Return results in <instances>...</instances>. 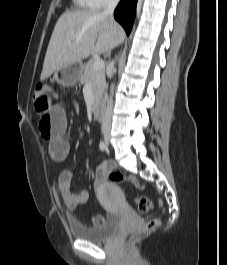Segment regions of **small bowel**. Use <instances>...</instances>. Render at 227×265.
<instances>
[{
  "mask_svg": "<svg viewBox=\"0 0 227 265\" xmlns=\"http://www.w3.org/2000/svg\"><path fill=\"white\" fill-rule=\"evenodd\" d=\"M39 130L41 136L48 141V152L50 157L58 162L65 161L70 153V142L66 137L67 117L64 109L60 105H54L50 111L45 110L39 121ZM111 166L104 163L94 170V189L98 190L110 171ZM73 172L70 169H62L58 175V189L63 204L68 209H74L86 204L88 192L85 190L73 192L71 190V181ZM70 222H76L72 215H68ZM104 218L96 215L92 218L94 226L100 225Z\"/></svg>",
  "mask_w": 227,
  "mask_h": 265,
  "instance_id": "small-bowel-1",
  "label": "small bowel"
}]
</instances>
